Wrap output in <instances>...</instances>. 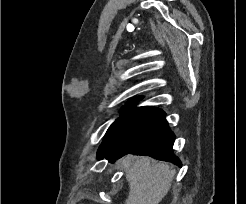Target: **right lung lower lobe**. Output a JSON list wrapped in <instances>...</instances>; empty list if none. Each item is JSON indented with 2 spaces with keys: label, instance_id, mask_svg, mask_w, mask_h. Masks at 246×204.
Returning a JSON list of instances; mask_svg holds the SVG:
<instances>
[{
  "label": "right lung lower lobe",
  "instance_id": "obj_1",
  "mask_svg": "<svg viewBox=\"0 0 246 204\" xmlns=\"http://www.w3.org/2000/svg\"><path fill=\"white\" fill-rule=\"evenodd\" d=\"M175 135L169 129L165 113L158 108L138 107L127 112L116 140L104 157L110 162L132 153L148 155L181 167L173 153Z\"/></svg>",
  "mask_w": 246,
  "mask_h": 204
}]
</instances>
